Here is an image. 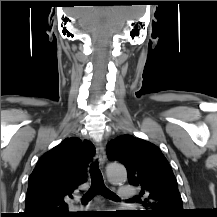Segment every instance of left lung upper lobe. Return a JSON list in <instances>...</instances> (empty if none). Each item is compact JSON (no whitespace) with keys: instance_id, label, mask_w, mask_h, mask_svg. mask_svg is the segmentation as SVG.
<instances>
[{"instance_id":"5c2ea615","label":"left lung upper lobe","mask_w":217,"mask_h":217,"mask_svg":"<svg viewBox=\"0 0 217 217\" xmlns=\"http://www.w3.org/2000/svg\"><path fill=\"white\" fill-rule=\"evenodd\" d=\"M110 160H118L127 169L131 185L140 186L145 195L142 211L146 217H180L182 199L173 171L154 144L132 135H121L106 147Z\"/></svg>"}]
</instances>
